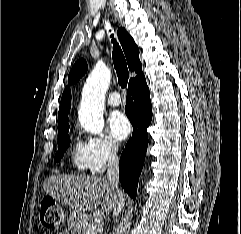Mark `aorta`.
<instances>
[{"label":"aorta","instance_id":"aorta-1","mask_svg":"<svg viewBox=\"0 0 241 234\" xmlns=\"http://www.w3.org/2000/svg\"><path fill=\"white\" fill-rule=\"evenodd\" d=\"M110 80V69L105 65L98 64L88 76L83 87L78 116L81 126L90 133L102 135L104 100Z\"/></svg>","mask_w":241,"mask_h":234}]
</instances>
